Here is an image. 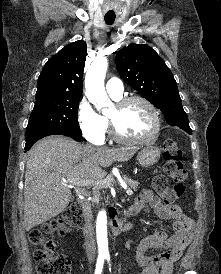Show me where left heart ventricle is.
Here are the masks:
<instances>
[{"instance_id":"b2bd125f","label":"left heart ventricle","mask_w":221,"mask_h":274,"mask_svg":"<svg viewBox=\"0 0 221 274\" xmlns=\"http://www.w3.org/2000/svg\"><path fill=\"white\" fill-rule=\"evenodd\" d=\"M108 115L115 120L120 133L128 138H142L153 126L149 109L140 102H133L121 110L114 105Z\"/></svg>"}]
</instances>
